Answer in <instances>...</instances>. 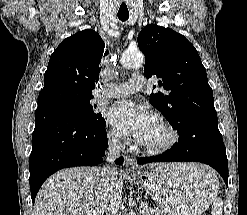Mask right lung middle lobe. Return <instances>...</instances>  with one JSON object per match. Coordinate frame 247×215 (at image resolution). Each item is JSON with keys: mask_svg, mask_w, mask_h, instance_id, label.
Here are the masks:
<instances>
[{"mask_svg": "<svg viewBox=\"0 0 247 215\" xmlns=\"http://www.w3.org/2000/svg\"><path fill=\"white\" fill-rule=\"evenodd\" d=\"M92 98L91 94H84L72 89L52 88L40 92L38 106L53 108L83 121L101 122L104 119L100 113L94 112L96 105L90 103Z\"/></svg>", "mask_w": 247, "mask_h": 215, "instance_id": "dd1d6c3e", "label": "right lung middle lobe"}]
</instances>
